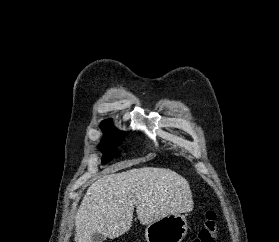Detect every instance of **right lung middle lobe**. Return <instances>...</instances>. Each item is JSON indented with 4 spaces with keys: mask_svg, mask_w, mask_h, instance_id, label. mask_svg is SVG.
I'll return each mask as SVG.
<instances>
[{
    "mask_svg": "<svg viewBox=\"0 0 279 242\" xmlns=\"http://www.w3.org/2000/svg\"><path fill=\"white\" fill-rule=\"evenodd\" d=\"M102 129L105 134L100 147L104 152L102 163H108L116 157L115 149L122 142L124 133L117 131L111 124L102 125Z\"/></svg>",
    "mask_w": 279,
    "mask_h": 242,
    "instance_id": "1",
    "label": "right lung middle lobe"
}]
</instances>
